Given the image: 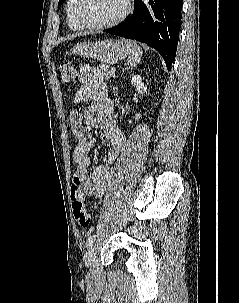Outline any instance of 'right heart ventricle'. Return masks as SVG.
<instances>
[{
	"mask_svg": "<svg viewBox=\"0 0 239 303\" xmlns=\"http://www.w3.org/2000/svg\"><path fill=\"white\" fill-rule=\"evenodd\" d=\"M74 5H75V0H67L66 6H65L66 20H67V24L70 27V29L79 31V30H82L83 27L77 22V20L75 18Z\"/></svg>",
	"mask_w": 239,
	"mask_h": 303,
	"instance_id": "right-heart-ventricle-1",
	"label": "right heart ventricle"
}]
</instances>
